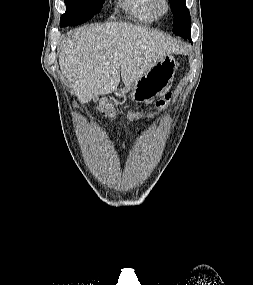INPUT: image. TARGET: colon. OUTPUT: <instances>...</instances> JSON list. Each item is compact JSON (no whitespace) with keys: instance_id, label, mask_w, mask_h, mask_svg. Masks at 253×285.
<instances>
[{"instance_id":"1","label":"colon","mask_w":253,"mask_h":285,"mask_svg":"<svg viewBox=\"0 0 253 285\" xmlns=\"http://www.w3.org/2000/svg\"><path fill=\"white\" fill-rule=\"evenodd\" d=\"M171 98H172V92L170 91L164 96V98H162L161 100H159L155 104V110L160 111L161 109H163L171 101ZM103 108L105 109V111L109 117H111V118L115 117L116 112H115V110L111 104L104 103ZM143 115H144L143 113L137 112V111H133V112L128 113V117L130 119H138V118L143 117Z\"/></svg>"}]
</instances>
